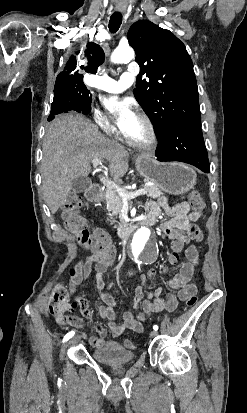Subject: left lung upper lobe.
Masks as SVG:
<instances>
[{"label":"left lung upper lobe","instance_id":"obj_1","mask_svg":"<svg viewBox=\"0 0 247 413\" xmlns=\"http://www.w3.org/2000/svg\"><path fill=\"white\" fill-rule=\"evenodd\" d=\"M140 66L134 95L160 136L175 124L201 126L198 88L185 45L169 30L140 20L127 34ZM143 74L149 81L142 80Z\"/></svg>","mask_w":247,"mask_h":413}]
</instances>
